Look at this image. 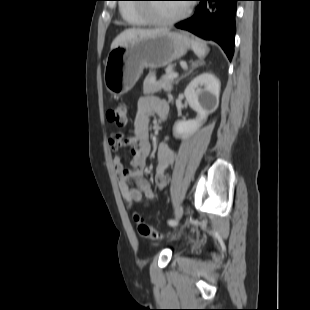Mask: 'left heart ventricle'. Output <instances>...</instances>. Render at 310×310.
I'll return each mask as SVG.
<instances>
[{"label":"left heart ventricle","mask_w":310,"mask_h":310,"mask_svg":"<svg viewBox=\"0 0 310 310\" xmlns=\"http://www.w3.org/2000/svg\"><path fill=\"white\" fill-rule=\"evenodd\" d=\"M152 10L157 17H173L181 12L182 7L175 4H159Z\"/></svg>","instance_id":"left-heart-ventricle-1"}]
</instances>
